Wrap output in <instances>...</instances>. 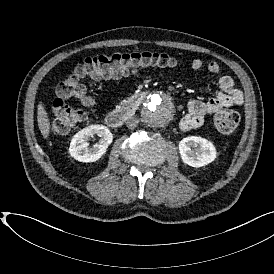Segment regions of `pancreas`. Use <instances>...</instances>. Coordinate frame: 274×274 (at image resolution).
Instances as JSON below:
<instances>
[{
    "label": "pancreas",
    "mask_w": 274,
    "mask_h": 274,
    "mask_svg": "<svg viewBox=\"0 0 274 274\" xmlns=\"http://www.w3.org/2000/svg\"><path fill=\"white\" fill-rule=\"evenodd\" d=\"M129 104H130V107L132 108V109H137L138 108V106H137V104L135 103V102H131V101H129Z\"/></svg>",
    "instance_id": "obj_1"
}]
</instances>
